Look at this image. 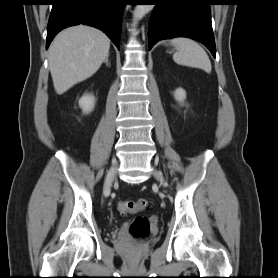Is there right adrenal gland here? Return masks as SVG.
<instances>
[{
	"label": "right adrenal gland",
	"mask_w": 278,
	"mask_h": 278,
	"mask_svg": "<svg viewBox=\"0 0 278 278\" xmlns=\"http://www.w3.org/2000/svg\"><path fill=\"white\" fill-rule=\"evenodd\" d=\"M104 63H105L107 66H110V63H109V58H108V57H106V59H105Z\"/></svg>",
	"instance_id": "1"
}]
</instances>
